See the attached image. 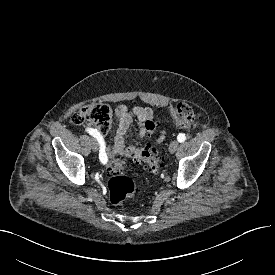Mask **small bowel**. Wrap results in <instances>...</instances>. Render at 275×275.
Instances as JSON below:
<instances>
[{"label": "small bowel", "instance_id": "small-bowel-1", "mask_svg": "<svg viewBox=\"0 0 275 275\" xmlns=\"http://www.w3.org/2000/svg\"><path fill=\"white\" fill-rule=\"evenodd\" d=\"M117 130L114 137V143L111 146H105L106 156L112 160L120 156H132L137 149L133 146L126 147V133L133 122L139 127V137L144 138L152 136L154 130L148 127V123L153 121V111L148 107L136 106L129 109L126 105H119L116 110ZM165 139V132L161 131L156 138V143H161Z\"/></svg>", "mask_w": 275, "mask_h": 275}]
</instances>
